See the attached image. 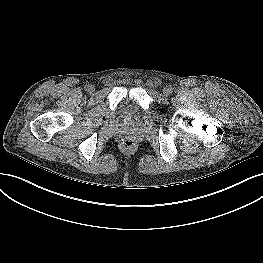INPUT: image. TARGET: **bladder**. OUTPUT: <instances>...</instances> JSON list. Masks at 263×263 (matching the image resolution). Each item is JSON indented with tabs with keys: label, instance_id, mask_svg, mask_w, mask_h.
<instances>
[{
	"label": "bladder",
	"instance_id": "obj_1",
	"mask_svg": "<svg viewBox=\"0 0 263 263\" xmlns=\"http://www.w3.org/2000/svg\"><path fill=\"white\" fill-rule=\"evenodd\" d=\"M122 112L126 117L134 118L137 116L136 108L130 104H125L122 108Z\"/></svg>",
	"mask_w": 263,
	"mask_h": 263
}]
</instances>
